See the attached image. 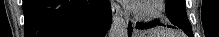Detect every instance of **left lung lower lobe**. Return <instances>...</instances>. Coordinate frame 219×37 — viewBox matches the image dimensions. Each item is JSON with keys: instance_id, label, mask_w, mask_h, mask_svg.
Instances as JSON below:
<instances>
[{"instance_id": "left-lung-lower-lobe-1", "label": "left lung lower lobe", "mask_w": 219, "mask_h": 37, "mask_svg": "<svg viewBox=\"0 0 219 37\" xmlns=\"http://www.w3.org/2000/svg\"><path fill=\"white\" fill-rule=\"evenodd\" d=\"M156 25H162V24L159 22V20H155V21H153L150 24H137V28H139V29H147V28H150V27H153V26H156ZM131 32H132V27H131V25H129L128 33H129L130 36H131ZM186 34L189 37H194L193 33H186Z\"/></svg>"}]
</instances>
